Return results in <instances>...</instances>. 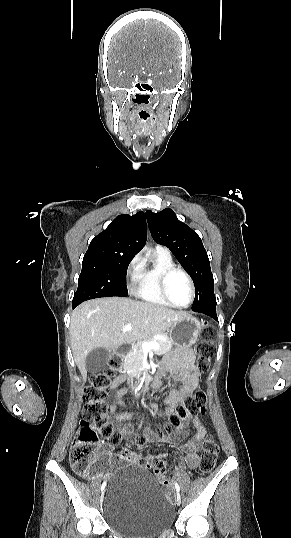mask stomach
Instances as JSON below:
<instances>
[{
	"instance_id": "obj_1",
	"label": "stomach",
	"mask_w": 291,
	"mask_h": 538,
	"mask_svg": "<svg viewBox=\"0 0 291 538\" xmlns=\"http://www.w3.org/2000/svg\"><path fill=\"white\" fill-rule=\"evenodd\" d=\"M201 331L200 322L189 315L179 320L170 328V340L177 347L188 348L196 343Z\"/></svg>"
}]
</instances>
